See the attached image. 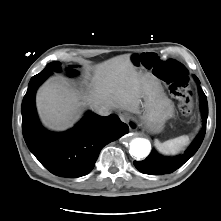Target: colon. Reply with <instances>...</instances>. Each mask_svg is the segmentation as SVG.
I'll return each instance as SVG.
<instances>
[{"instance_id": "colon-1", "label": "colon", "mask_w": 221, "mask_h": 221, "mask_svg": "<svg viewBox=\"0 0 221 221\" xmlns=\"http://www.w3.org/2000/svg\"><path fill=\"white\" fill-rule=\"evenodd\" d=\"M141 65L152 70L153 74L167 84L169 92L178 99L181 112L187 116L193 113V99L188 89V72L174 59H160L153 53L141 57Z\"/></svg>"}]
</instances>
